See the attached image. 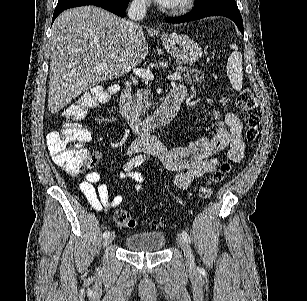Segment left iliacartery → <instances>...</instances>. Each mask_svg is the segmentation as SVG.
Wrapping results in <instances>:
<instances>
[{
  "instance_id": "1",
  "label": "left iliac artery",
  "mask_w": 307,
  "mask_h": 301,
  "mask_svg": "<svg viewBox=\"0 0 307 301\" xmlns=\"http://www.w3.org/2000/svg\"><path fill=\"white\" fill-rule=\"evenodd\" d=\"M182 236L185 238L187 242L189 243L191 242V238L186 231L182 230Z\"/></svg>"
}]
</instances>
